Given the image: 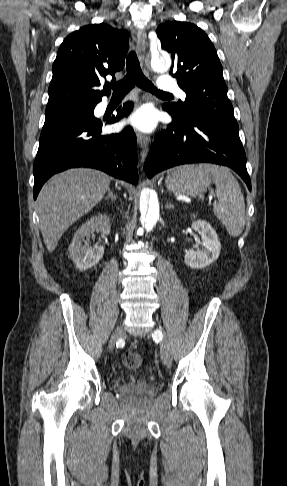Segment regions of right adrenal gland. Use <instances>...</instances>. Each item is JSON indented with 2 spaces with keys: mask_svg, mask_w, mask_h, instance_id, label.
<instances>
[{
  "mask_svg": "<svg viewBox=\"0 0 287 486\" xmlns=\"http://www.w3.org/2000/svg\"><path fill=\"white\" fill-rule=\"evenodd\" d=\"M109 198H111L113 201H116V196L110 188H108V195L105 197V200H108Z\"/></svg>",
  "mask_w": 287,
  "mask_h": 486,
  "instance_id": "2a0ac1e0",
  "label": "right adrenal gland"
}]
</instances>
